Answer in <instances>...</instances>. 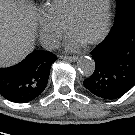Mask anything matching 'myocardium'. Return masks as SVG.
I'll list each match as a JSON object with an SVG mask.
<instances>
[{
	"label": "myocardium",
	"instance_id": "obj_1",
	"mask_svg": "<svg viewBox=\"0 0 135 135\" xmlns=\"http://www.w3.org/2000/svg\"><path fill=\"white\" fill-rule=\"evenodd\" d=\"M85 2H86V0H80L78 2L74 12L68 18L66 25H65V32L67 35H69V30H70L71 25L82 15ZM111 8H112V0H107L102 29L94 38H92L90 41L84 43L83 44L84 46H92V45L98 44L106 37V35L109 32V28H110Z\"/></svg>",
	"mask_w": 135,
	"mask_h": 135
}]
</instances>
